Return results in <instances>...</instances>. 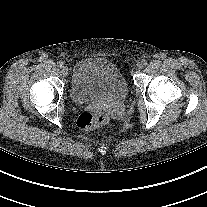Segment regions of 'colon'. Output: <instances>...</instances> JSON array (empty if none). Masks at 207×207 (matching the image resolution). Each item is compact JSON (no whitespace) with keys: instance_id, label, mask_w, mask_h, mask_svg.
Segmentation results:
<instances>
[{"instance_id":"obj_1","label":"colon","mask_w":207,"mask_h":207,"mask_svg":"<svg viewBox=\"0 0 207 207\" xmlns=\"http://www.w3.org/2000/svg\"><path fill=\"white\" fill-rule=\"evenodd\" d=\"M110 122V116L103 111H84L76 120V123L81 129H88L92 127H102Z\"/></svg>"}]
</instances>
